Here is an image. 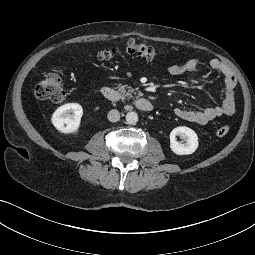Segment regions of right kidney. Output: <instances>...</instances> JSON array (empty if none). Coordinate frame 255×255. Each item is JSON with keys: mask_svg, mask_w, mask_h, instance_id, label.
Here are the masks:
<instances>
[{"mask_svg": "<svg viewBox=\"0 0 255 255\" xmlns=\"http://www.w3.org/2000/svg\"><path fill=\"white\" fill-rule=\"evenodd\" d=\"M82 115L83 109L80 104L68 103L57 108L51 117V122L61 133H76L80 127Z\"/></svg>", "mask_w": 255, "mask_h": 255, "instance_id": "ca27d5eb", "label": "right kidney"}]
</instances>
